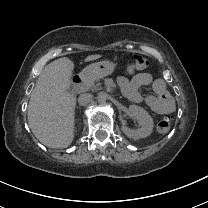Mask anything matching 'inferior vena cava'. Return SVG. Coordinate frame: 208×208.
<instances>
[{
  "instance_id": "obj_1",
  "label": "inferior vena cava",
  "mask_w": 208,
  "mask_h": 208,
  "mask_svg": "<svg viewBox=\"0 0 208 208\" xmlns=\"http://www.w3.org/2000/svg\"><path fill=\"white\" fill-rule=\"evenodd\" d=\"M93 96L89 93L81 94L78 98V102L81 106H86L92 102Z\"/></svg>"
}]
</instances>
